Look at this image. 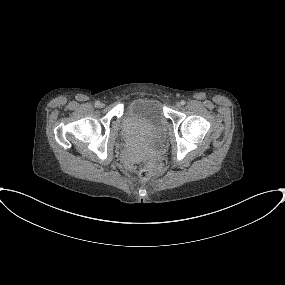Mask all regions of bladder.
<instances>
[{
  "instance_id": "obj_1",
  "label": "bladder",
  "mask_w": 285,
  "mask_h": 285,
  "mask_svg": "<svg viewBox=\"0 0 285 285\" xmlns=\"http://www.w3.org/2000/svg\"><path fill=\"white\" fill-rule=\"evenodd\" d=\"M166 118L161 104L154 98H138L126 107L119 137L127 152L143 148L147 156L162 151L167 145Z\"/></svg>"
}]
</instances>
